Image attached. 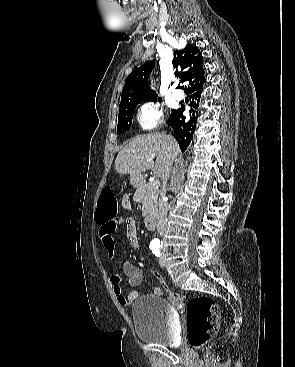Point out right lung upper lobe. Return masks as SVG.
<instances>
[{"label": "right lung upper lobe", "mask_w": 295, "mask_h": 367, "mask_svg": "<svg viewBox=\"0 0 295 367\" xmlns=\"http://www.w3.org/2000/svg\"><path fill=\"white\" fill-rule=\"evenodd\" d=\"M172 63L176 69L175 75L181 78V82L187 83L185 93L205 82L202 54L196 45L188 44L184 49L176 50ZM154 65L155 60L146 61L127 77L119 107L127 102L145 101L155 95V91L148 87Z\"/></svg>", "instance_id": "right-lung-upper-lobe-1"}]
</instances>
